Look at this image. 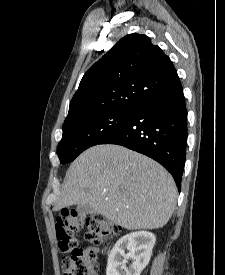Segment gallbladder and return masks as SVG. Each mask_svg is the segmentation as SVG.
<instances>
[{
	"instance_id": "1",
	"label": "gallbladder",
	"mask_w": 225,
	"mask_h": 275,
	"mask_svg": "<svg viewBox=\"0 0 225 275\" xmlns=\"http://www.w3.org/2000/svg\"><path fill=\"white\" fill-rule=\"evenodd\" d=\"M76 210L79 212V213H82V214H88V213H93V209H91L89 206L87 205H77L76 207Z\"/></svg>"
}]
</instances>
